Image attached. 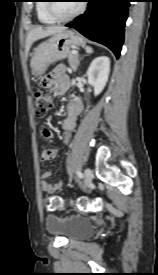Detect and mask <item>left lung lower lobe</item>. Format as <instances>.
<instances>
[{
    "label": "left lung lower lobe",
    "instance_id": "0a47b994",
    "mask_svg": "<svg viewBox=\"0 0 158 275\" xmlns=\"http://www.w3.org/2000/svg\"><path fill=\"white\" fill-rule=\"evenodd\" d=\"M130 0H89L87 11L66 26L107 46L118 58Z\"/></svg>",
    "mask_w": 158,
    "mask_h": 275
}]
</instances>
